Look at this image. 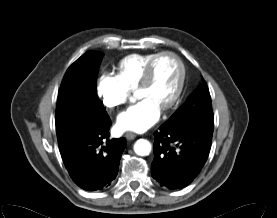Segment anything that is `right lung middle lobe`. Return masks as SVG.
<instances>
[{
	"mask_svg": "<svg viewBox=\"0 0 277 218\" xmlns=\"http://www.w3.org/2000/svg\"><path fill=\"white\" fill-rule=\"evenodd\" d=\"M102 56L100 52H86L63 78L55 121L60 151L108 118L97 96L95 82Z\"/></svg>",
	"mask_w": 277,
	"mask_h": 218,
	"instance_id": "right-lung-middle-lobe-1",
	"label": "right lung middle lobe"
}]
</instances>
